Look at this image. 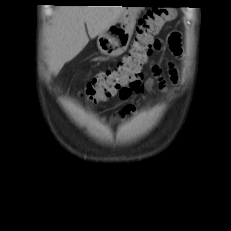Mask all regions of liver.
<instances>
[{"label":"liver","mask_w":231,"mask_h":231,"mask_svg":"<svg viewBox=\"0 0 231 231\" xmlns=\"http://www.w3.org/2000/svg\"><path fill=\"white\" fill-rule=\"evenodd\" d=\"M122 6H60L56 9L47 36V63L58 74L65 63L75 58L90 38L105 31L126 11Z\"/></svg>","instance_id":"obj_1"}]
</instances>
